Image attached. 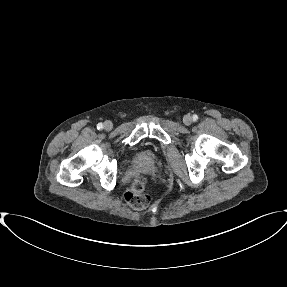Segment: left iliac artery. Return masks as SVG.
Wrapping results in <instances>:
<instances>
[{
    "label": "left iliac artery",
    "mask_w": 287,
    "mask_h": 287,
    "mask_svg": "<svg viewBox=\"0 0 287 287\" xmlns=\"http://www.w3.org/2000/svg\"><path fill=\"white\" fill-rule=\"evenodd\" d=\"M192 120H193V121H197V120H198V116H197L196 114H194V115L192 116Z\"/></svg>",
    "instance_id": "left-iliac-artery-1"
}]
</instances>
